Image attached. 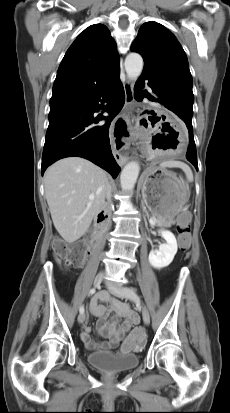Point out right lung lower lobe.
I'll return each mask as SVG.
<instances>
[{"instance_id":"98d812e1","label":"right lung lower lobe","mask_w":230,"mask_h":413,"mask_svg":"<svg viewBox=\"0 0 230 413\" xmlns=\"http://www.w3.org/2000/svg\"><path fill=\"white\" fill-rule=\"evenodd\" d=\"M125 102L123 85L119 75L111 84L93 96L68 103L50 106L49 126L42 155V175L55 161L78 156L88 159L108 171L113 178L120 172L109 144V126ZM109 117L93 116L104 108ZM106 119L104 125H96Z\"/></svg>"}]
</instances>
